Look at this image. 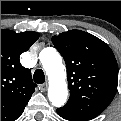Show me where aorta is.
<instances>
[{"label": "aorta", "mask_w": 121, "mask_h": 121, "mask_svg": "<svg viewBox=\"0 0 121 121\" xmlns=\"http://www.w3.org/2000/svg\"><path fill=\"white\" fill-rule=\"evenodd\" d=\"M40 61L49 79L48 98L55 107H62L68 96L62 59L55 48L46 47L40 52Z\"/></svg>", "instance_id": "762f6f07"}]
</instances>
